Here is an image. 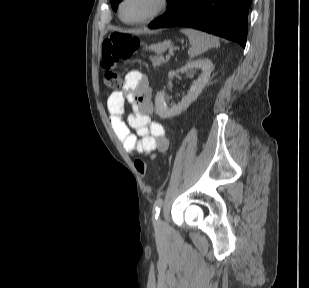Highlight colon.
Segmentation results:
<instances>
[{
	"instance_id": "obj_1",
	"label": "colon",
	"mask_w": 309,
	"mask_h": 288,
	"mask_svg": "<svg viewBox=\"0 0 309 288\" xmlns=\"http://www.w3.org/2000/svg\"><path fill=\"white\" fill-rule=\"evenodd\" d=\"M139 48V40L127 32H114L102 44L101 68L104 71L103 85L117 88L120 85L118 75L119 63L130 58ZM137 171L144 175L148 165L141 159L134 162Z\"/></svg>"
}]
</instances>
